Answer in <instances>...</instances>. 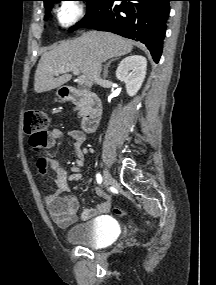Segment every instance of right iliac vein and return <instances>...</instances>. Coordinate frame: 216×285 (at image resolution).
Segmentation results:
<instances>
[{
	"label": "right iliac vein",
	"mask_w": 216,
	"mask_h": 285,
	"mask_svg": "<svg viewBox=\"0 0 216 285\" xmlns=\"http://www.w3.org/2000/svg\"><path fill=\"white\" fill-rule=\"evenodd\" d=\"M112 183V176L110 172L105 168L103 170V184L105 187H108Z\"/></svg>",
	"instance_id": "1"
}]
</instances>
